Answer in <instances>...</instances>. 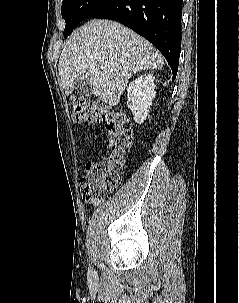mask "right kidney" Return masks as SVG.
Returning <instances> with one entry per match:
<instances>
[{
    "label": "right kidney",
    "mask_w": 239,
    "mask_h": 303,
    "mask_svg": "<svg viewBox=\"0 0 239 303\" xmlns=\"http://www.w3.org/2000/svg\"><path fill=\"white\" fill-rule=\"evenodd\" d=\"M154 80L153 74L141 75L133 80L127 88V104L138 124L146 120L156 96Z\"/></svg>",
    "instance_id": "obj_1"
}]
</instances>
